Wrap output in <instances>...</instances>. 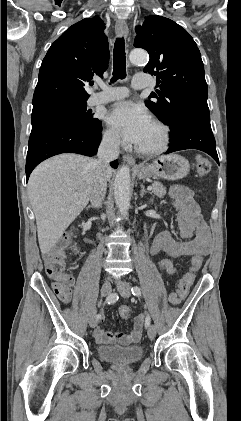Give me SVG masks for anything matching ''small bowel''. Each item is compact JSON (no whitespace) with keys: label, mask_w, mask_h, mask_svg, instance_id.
Masks as SVG:
<instances>
[{"label":"small bowel","mask_w":241,"mask_h":421,"mask_svg":"<svg viewBox=\"0 0 241 421\" xmlns=\"http://www.w3.org/2000/svg\"><path fill=\"white\" fill-rule=\"evenodd\" d=\"M170 196L178 210V226L183 241H176L167 231H162L156 235L150 248L151 254L164 253L168 257H194L204 256L211 249V235L206 222L204 221L199 206L193 198L191 190L185 186H172ZM73 281L55 290L58 298L65 304L72 301ZM179 299L176 293L169 296L172 305H178ZM144 315L134 318L133 327L130 333L109 332L97 327L94 330V337L99 344H121L130 345L139 342L144 324Z\"/></svg>","instance_id":"c3829d8e"}]
</instances>
